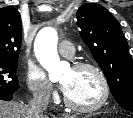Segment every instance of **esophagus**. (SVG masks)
<instances>
[{
	"label": "esophagus",
	"mask_w": 133,
	"mask_h": 118,
	"mask_svg": "<svg viewBox=\"0 0 133 118\" xmlns=\"http://www.w3.org/2000/svg\"><path fill=\"white\" fill-rule=\"evenodd\" d=\"M65 118H73V116H71V115H66V116H64Z\"/></svg>",
	"instance_id": "obj_1"
}]
</instances>
